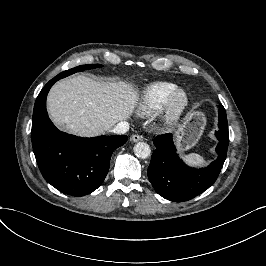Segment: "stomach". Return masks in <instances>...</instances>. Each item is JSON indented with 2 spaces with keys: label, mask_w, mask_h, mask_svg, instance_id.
<instances>
[{
  "label": "stomach",
  "mask_w": 266,
  "mask_h": 266,
  "mask_svg": "<svg viewBox=\"0 0 266 266\" xmlns=\"http://www.w3.org/2000/svg\"><path fill=\"white\" fill-rule=\"evenodd\" d=\"M206 116L201 111H191L185 121L175 131L176 145L179 150L186 151L195 146L206 126Z\"/></svg>",
  "instance_id": "0dacf381"
}]
</instances>
